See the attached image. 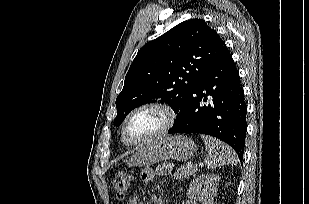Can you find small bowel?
Masks as SVG:
<instances>
[{"instance_id":"small-bowel-1","label":"small bowel","mask_w":309,"mask_h":204,"mask_svg":"<svg viewBox=\"0 0 309 204\" xmlns=\"http://www.w3.org/2000/svg\"><path fill=\"white\" fill-rule=\"evenodd\" d=\"M170 171V165L169 164H164L162 165L158 170H153L150 168H147L145 170L142 171L141 173V180L143 182H150L154 175L156 173H160V174H165L168 173ZM130 204H137V198H133L130 202Z\"/></svg>"}]
</instances>
